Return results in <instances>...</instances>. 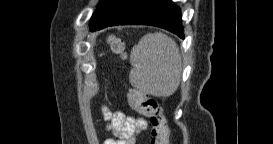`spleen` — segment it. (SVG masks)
<instances>
[{
    "label": "spleen",
    "instance_id": "spleen-1",
    "mask_svg": "<svg viewBox=\"0 0 273 144\" xmlns=\"http://www.w3.org/2000/svg\"><path fill=\"white\" fill-rule=\"evenodd\" d=\"M131 85L157 97L175 93L181 78V56L176 42L161 32L144 35L130 54Z\"/></svg>",
    "mask_w": 273,
    "mask_h": 144
}]
</instances>
